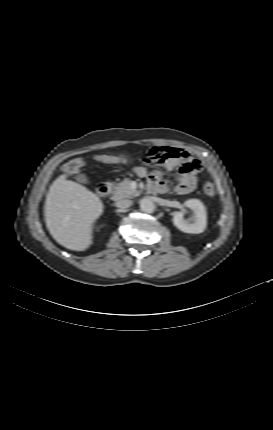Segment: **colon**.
<instances>
[{
  "instance_id": "1",
  "label": "colon",
  "mask_w": 273,
  "mask_h": 430,
  "mask_svg": "<svg viewBox=\"0 0 273 430\" xmlns=\"http://www.w3.org/2000/svg\"><path fill=\"white\" fill-rule=\"evenodd\" d=\"M128 157H116L111 155H101L97 157V161L101 163H115L120 161H127ZM86 164V160L83 158H75L65 164L63 170L68 175L77 174ZM203 192L207 196H213L215 194V186L211 182H205L203 185Z\"/></svg>"
}]
</instances>
